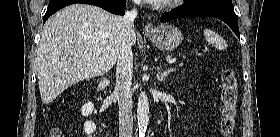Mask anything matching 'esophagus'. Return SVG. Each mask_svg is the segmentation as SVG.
Returning <instances> with one entry per match:
<instances>
[{
	"label": "esophagus",
	"instance_id": "obj_1",
	"mask_svg": "<svg viewBox=\"0 0 280 137\" xmlns=\"http://www.w3.org/2000/svg\"><path fill=\"white\" fill-rule=\"evenodd\" d=\"M155 31H156V29H155V27L152 23H147L144 27V32L147 33V34L148 33H153Z\"/></svg>",
	"mask_w": 280,
	"mask_h": 137
}]
</instances>
